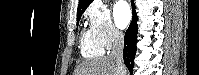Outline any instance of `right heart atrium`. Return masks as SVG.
Returning a JSON list of instances; mask_svg holds the SVG:
<instances>
[{
  "label": "right heart atrium",
  "mask_w": 199,
  "mask_h": 75,
  "mask_svg": "<svg viewBox=\"0 0 199 75\" xmlns=\"http://www.w3.org/2000/svg\"><path fill=\"white\" fill-rule=\"evenodd\" d=\"M88 18L91 30L104 49H110L122 41L123 34L116 27L108 11L92 9Z\"/></svg>",
  "instance_id": "right-heart-atrium-1"
}]
</instances>
